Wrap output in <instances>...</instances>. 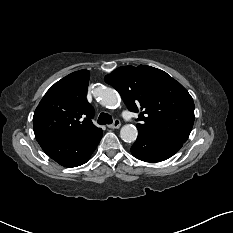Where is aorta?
<instances>
[{
    "label": "aorta",
    "instance_id": "obj_1",
    "mask_svg": "<svg viewBox=\"0 0 233 233\" xmlns=\"http://www.w3.org/2000/svg\"><path fill=\"white\" fill-rule=\"evenodd\" d=\"M100 103L103 106L112 108L119 102V95L116 90L112 88H104L99 93ZM138 130L132 124L124 125L120 130V137L124 142H134L137 139Z\"/></svg>",
    "mask_w": 233,
    "mask_h": 233
}]
</instances>
